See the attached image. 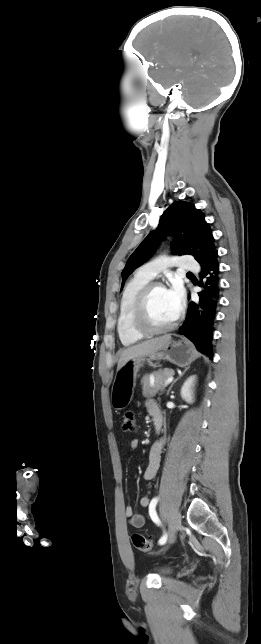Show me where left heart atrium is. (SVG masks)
I'll return each mask as SVG.
<instances>
[{
	"instance_id": "1",
	"label": "left heart atrium",
	"mask_w": 261,
	"mask_h": 644,
	"mask_svg": "<svg viewBox=\"0 0 261 644\" xmlns=\"http://www.w3.org/2000/svg\"><path fill=\"white\" fill-rule=\"evenodd\" d=\"M168 296L175 309L176 315L180 314L184 307V294L179 285H174L167 290Z\"/></svg>"
}]
</instances>
